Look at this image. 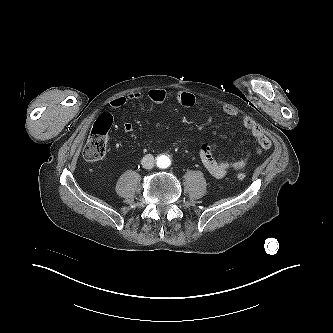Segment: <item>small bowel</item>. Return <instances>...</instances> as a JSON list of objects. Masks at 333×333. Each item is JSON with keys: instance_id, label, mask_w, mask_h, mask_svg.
<instances>
[{"instance_id": "1", "label": "small bowel", "mask_w": 333, "mask_h": 333, "mask_svg": "<svg viewBox=\"0 0 333 333\" xmlns=\"http://www.w3.org/2000/svg\"><path fill=\"white\" fill-rule=\"evenodd\" d=\"M167 98V92L164 89H151L147 92H136L128 96L118 97L110 102L112 108L117 109L129 104L133 100L148 99L154 103H163ZM177 102L185 107H192L196 104V96L187 90H181L177 93ZM224 112L230 116H235L237 113L234 109L225 106ZM243 126L251 133L258 144L255 151L256 155L268 150L271 147L270 139L265 135L263 129L249 116L242 117ZM123 128L126 132L134 130V125L131 122H124ZM216 147L214 144H204L199 151V158L206 170L215 178H223L232 172L242 171L250 161L253 153L246 152L239 159L234 161H217L215 158Z\"/></svg>"}]
</instances>
